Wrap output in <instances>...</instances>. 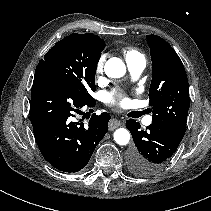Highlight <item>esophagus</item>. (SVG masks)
Wrapping results in <instances>:
<instances>
[{
	"instance_id": "1",
	"label": "esophagus",
	"mask_w": 211,
	"mask_h": 211,
	"mask_svg": "<svg viewBox=\"0 0 211 211\" xmlns=\"http://www.w3.org/2000/svg\"><path fill=\"white\" fill-rule=\"evenodd\" d=\"M121 125L122 121L119 118H112L108 123L109 130H114Z\"/></svg>"
}]
</instances>
